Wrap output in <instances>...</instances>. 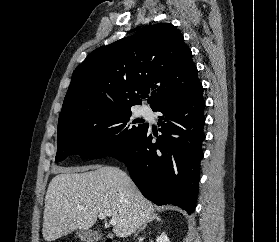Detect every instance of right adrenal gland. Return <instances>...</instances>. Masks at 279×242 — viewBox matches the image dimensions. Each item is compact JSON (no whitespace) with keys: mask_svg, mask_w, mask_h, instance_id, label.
I'll use <instances>...</instances> for the list:
<instances>
[{"mask_svg":"<svg viewBox=\"0 0 279 242\" xmlns=\"http://www.w3.org/2000/svg\"><path fill=\"white\" fill-rule=\"evenodd\" d=\"M153 220L161 221V218H160L157 214L154 213V214L152 215V217H151L148 221H146V222L143 224L142 227H140V228L138 229V231H137L136 234H138L140 231H142L143 229H145V228L147 227V224L150 223V222L153 221Z\"/></svg>","mask_w":279,"mask_h":242,"instance_id":"right-adrenal-gland-1","label":"right adrenal gland"}]
</instances>
